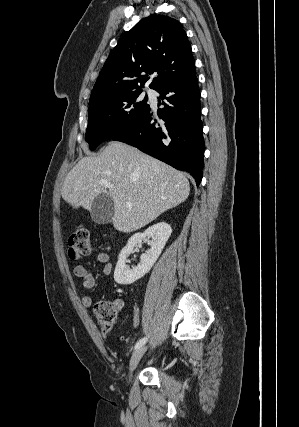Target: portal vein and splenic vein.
<instances>
[{"mask_svg":"<svg viewBox=\"0 0 299 427\" xmlns=\"http://www.w3.org/2000/svg\"><path fill=\"white\" fill-rule=\"evenodd\" d=\"M99 184H101V185H105V186H108V187H112V185H111V184H109V183H108V181H106V180H101V181L99 182ZM126 207H127V208H131V207H132V204H131L130 202H126Z\"/></svg>","mask_w":299,"mask_h":427,"instance_id":"obj_1","label":"portal vein and splenic vein"}]
</instances>
